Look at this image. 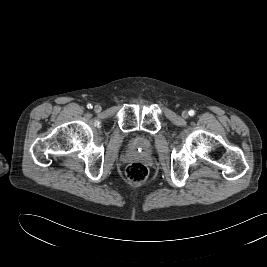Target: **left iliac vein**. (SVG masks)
<instances>
[{"label": "left iliac vein", "mask_w": 267, "mask_h": 267, "mask_svg": "<svg viewBox=\"0 0 267 267\" xmlns=\"http://www.w3.org/2000/svg\"><path fill=\"white\" fill-rule=\"evenodd\" d=\"M188 116H189L188 111L185 110V111L182 112V117L183 118H188Z\"/></svg>", "instance_id": "obj_1"}]
</instances>
